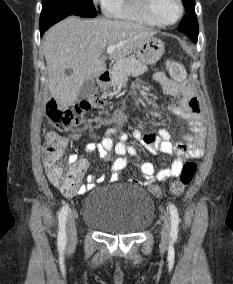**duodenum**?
Here are the masks:
<instances>
[{"label": "duodenum", "mask_w": 233, "mask_h": 284, "mask_svg": "<svg viewBox=\"0 0 233 284\" xmlns=\"http://www.w3.org/2000/svg\"><path fill=\"white\" fill-rule=\"evenodd\" d=\"M98 80L101 86H107L111 80V72L109 70L101 72L98 77Z\"/></svg>", "instance_id": "410a0bca"}]
</instances>
